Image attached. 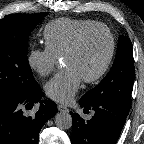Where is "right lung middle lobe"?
I'll use <instances>...</instances> for the list:
<instances>
[{"label":"right lung middle lobe","instance_id":"obj_1","mask_svg":"<svg viewBox=\"0 0 144 144\" xmlns=\"http://www.w3.org/2000/svg\"><path fill=\"white\" fill-rule=\"evenodd\" d=\"M11 14L0 20V100L20 98L40 87L27 59L28 36L47 15Z\"/></svg>","mask_w":144,"mask_h":144}]
</instances>
